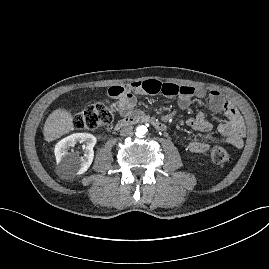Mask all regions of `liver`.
<instances>
[{
	"label": "liver",
	"instance_id": "1",
	"mask_svg": "<svg viewBox=\"0 0 269 269\" xmlns=\"http://www.w3.org/2000/svg\"><path fill=\"white\" fill-rule=\"evenodd\" d=\"M74 129L73 116L63 108L54 110L46 119L43 135L47 142L54 141Z\"/></svg>",
	"mask_w": 269,
	"mask_h": 269
}]
</instances>
